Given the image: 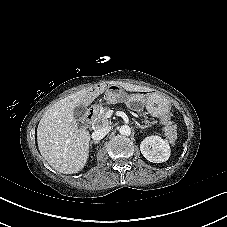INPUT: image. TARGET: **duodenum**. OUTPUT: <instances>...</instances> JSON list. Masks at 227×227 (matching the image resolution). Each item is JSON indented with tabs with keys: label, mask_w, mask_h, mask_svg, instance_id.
Returning <instances> with one entry per match:
<instances>
[{
	"label": "duodenum",
	"mask_w": 227,
	"mask_h": 227,
	"mask_svg": "<svg viewBox=\"0 0 227 227\" xmlns=\"http://www.w3.org/2000/svg\"><path fill=\"white\" fill-rule=\"evenodd\" d=\"M97 109V106L96 105H91L89 108H88V111L84 114V116L80 119V125L82 127H88L91 125V122H92V118L94 116V113Z\"/></svg>",
	"instance_id": "duodenum-1"
}]
</instances>
